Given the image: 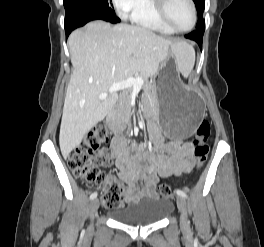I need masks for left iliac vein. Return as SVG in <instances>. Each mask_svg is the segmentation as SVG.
Segmentation results:
<instances>
[{
	"mask_svg": "<svg viewBox=\"0 0 264 247\" xmlns=\"http://www.w3.org/2000/svg\"><path fill=\"white\" fill-rule=\"evenodd\" d=\"M177 206L181 213V226L183 229H187L189 227L188 217H187V204L186 200L182 196H178L177 199Z\"/></svg>",
	"mask_w": 264,
	"mask_h": 247,
	"instance_id": "1",
	"label": "left iliac vein"
}]
</instances>
